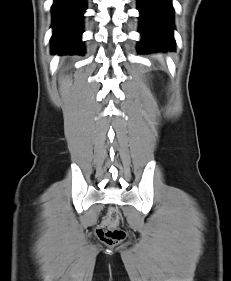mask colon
Masks as SVG:
<instances>
[{"instance_id": "colon-1", "label": "colon", "mask_w": 231, "mask_h": 281, "mask_svg": "<svg viewBox=\"0 0 231 281\" xmlns=\"http://www.w3.org/2000/svg\"><path fill=\"white\" fill-rule=\"evenodd\" d=\"M120 215L116 208H110L97 228V235L107 245H116L125 238L119 228Z\"/></svg>"}]
</instances>
